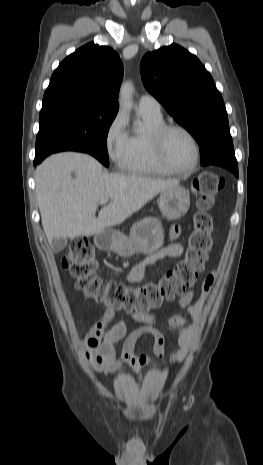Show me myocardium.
<instances>
[{
	"mask_svg": "<svg viewBox=\"0 0 263 465\" xmlns=\"http://www.w3.org/2000/svg\"><path fill=\"white\" fill-rule=\"evenodd\" d=\"M180 131L184 133L193 143L195 149V158L192 165L185 169H180L172 166L166 159L165 156V139L169 132ZM150 141L152 145L153 154L156 162L167 172L174 174H188L193 172L199 164L201 157V148L197 138L194 134L186 127L179 124H167L163 123L150 134Z\"/></svg>",
	"mask_w": 263,
	"mask_h": 465,
	"instance_id": "1",
	"label": "myocardium"
}]
</instances>
